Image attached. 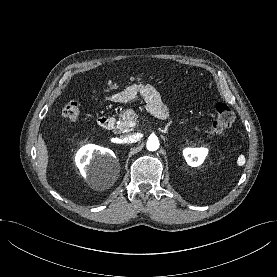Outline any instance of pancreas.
I'll return each instance as SVG.
<instances>
[{
  "instance_id": "1",
  "label": "pancreas",
  "mask_w": 277,
  "mask_h": 277,
  "mask_svg": "<svg viewBox=\"0 0 277 277\" xmlns=\"http://www.w3.org/2000/svg\"><path fill=\"white\" fill-rule=\"evenodd\" d=\"M138 119V115L132 109H127L120 113L119 120L116 125V129L120 132H129L133 130L132 123H135Z\"/></svg>"
}]
</instances>
